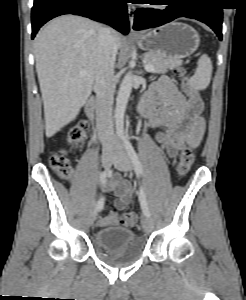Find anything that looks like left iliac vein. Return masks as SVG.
<instances>
[{
    "mask_svg": "<svg viewBox=\"0 0 246 300\" xmlns=\"http://www.w3.org/2000/svg\"><path fill=\"white\" fill-rule=\"evenodd\" d=\"M113 164L118 170L122 172H128L132 168L131 160L123 148L115 153ZM142 227L146 233H149L153 230V222L150 217L144 216L142 218Z\"/></svg>",
    "mask_w": 246,
    "mask_h": 300,
    "instance_id": "left-iliac-vein-1",
    "label": "left iliac vein"
}]
</instances>
